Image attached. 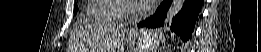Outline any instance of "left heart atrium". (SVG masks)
<instances>
[{"mask_svg": "<svg viewBox=\"0 0 261 52\" xmlns=\"http://www.w3.org/2000/svg\"><path fill=\"white\" fill-rule=\"evenodd\" d=\"M157 3H158L157 0H136V1H134V4H137L139 7L143 8V9H148Z\"/></svg>", "mask_w": 261, "mask_h": 52, "instance_id": "39dd6f15", "label": "left heart atrium"}]
</instances>
